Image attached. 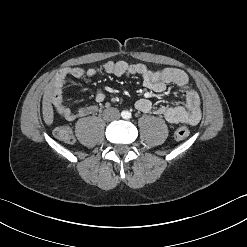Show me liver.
Masks as SVG:
<instances>
[{
    "label": "liver",
    "mask_w": 247,
    "mask_h": 247,
    "mask_svg": "<svg viewBox=\"0 0 247 247\" xmlns=\"http://www.w3.org/2000/svg\"><path fill=\"white\" fill-rule=\"evenodd\" d=\"M52 91H53V84L52 82L49 83L44 91L43 100H42V113L44 121L47 125H51L53 123V107H52Z\"/></svg>",
    "instance_id": "liver-1"
}]
</instances>
